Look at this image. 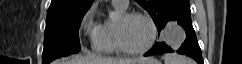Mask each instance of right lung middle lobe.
Wrapping results in <instances>:
<instances>
[{
    "instance_id": "1",
    "label": "right lung middle lobe",
    "mask_w": 242,
    "mask_h": 64,
    "mask_svg": "<svg viewBox=\"0 0 242 64\" xmlns=\"http://www.w3.org/2000/svg\"><path fill=\"white\" fill-rule=\"evenodd\" d=\"M85 13L46 19L42 64H49L58 57L79 52L81 49L79 28Z\"/></svg>"
}]
</instances>
